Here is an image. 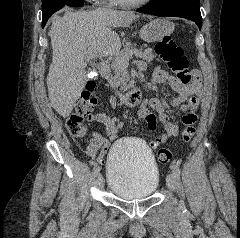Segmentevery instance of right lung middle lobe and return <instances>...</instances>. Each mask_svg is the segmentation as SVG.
Instances as JSON below:
<instances>
[{
	"instance_id": "right-lung-middle-lobe-1",
	"label": "right lung middle lobe",
	"mask_w": 240,
	"mask_h": 238,
	"mask_svg": "<svg viewBox=\"0 0 240 238\" xmlns=\"http://www.w3.org/2000/svg\"><path fill=\"white\" fill-rule=\"evenodd\" d=\"M77 0H42V15L43 21L47 22L48 18L57 10H60L65 5H70Z\"/></svg>"
}]
</instances>
